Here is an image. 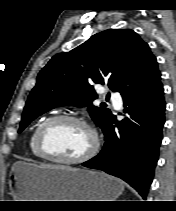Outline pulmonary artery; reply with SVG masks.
Returning <instances> with one entry per match:
<instances>
[{"label": "pulmonary artery", "mask_w": 176, "mask_h": 211, "mask_svg": "<svg viewBox=\"0 0 176 211\" xmlns=\"http://www.w3.org/2000/svg\"><path fill=\"white\" fill-rule=\"evenodd\" d=\"M112 100L117 109H120L122 107V99L117 94H112Z\"/></svg>", "instance_id": "e3ab8cb5"}]
</instances>
